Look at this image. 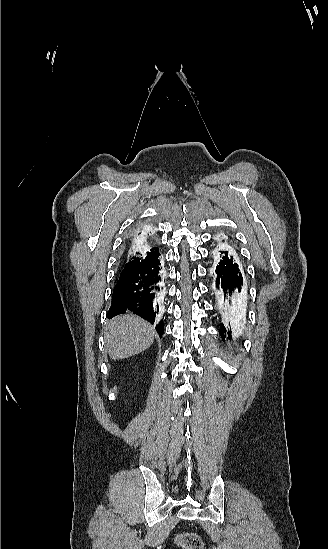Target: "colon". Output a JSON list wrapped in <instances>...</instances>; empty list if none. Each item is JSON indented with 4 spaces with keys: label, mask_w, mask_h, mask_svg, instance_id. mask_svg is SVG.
I'll return each mask as SVG.
<instances>
[{
    "label": "colon",
    "mask_w": 328,
    "mask_h": 549,
    "mask_svg": "<svg viewBox=\"0 0 328 549\" xmlns=\"http://www.w3.org/2000/svg\"><path fill=\"white\" fill-rule=\"evenodd\" d=\"M177 544L185 549H200L202 541L200 537L192 532L182 533L176 538Z\"/></svg>",
    "instance_id": "5ec220e1"
}]
</instances>
